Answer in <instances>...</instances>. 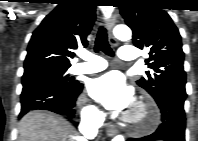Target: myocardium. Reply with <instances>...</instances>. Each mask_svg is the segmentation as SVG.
Here are the masks:
<instances>
[{
	"label": "myocardium",
	"mask_w": 198,
	"mask_h": 141,
	"mask_svg": "<svg viewBox=\"0 0 198 141\" xmlns=\"http://www.w3.org/2000/svg\"><path fill=\"white\" fill-rule=\"evenodd\" d=\"M158 119L159 115L155 105L148 99H140L133 111L124 120L133 130L147 131L156 126Z\"/></svg>",
	"instance_id": "obj_1"
}]
</instances>
